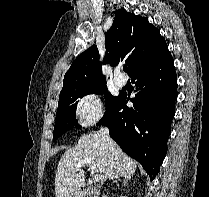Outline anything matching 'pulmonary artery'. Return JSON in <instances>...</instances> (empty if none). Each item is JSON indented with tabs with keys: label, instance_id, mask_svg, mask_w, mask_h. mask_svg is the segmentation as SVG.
I'll use <instances>...</instances> for the list:
<instances>
[{
	"label": "pulmonary artery",
	"instance_id": "1",
	"mask_svg": "<svg viewBox=\"0 0 209 197\" xmlns=\"http://www.w3.org/2000/svg\"><path fill=\"white\" fill-rule=\"evenodd\" d=\"M114 82L118 87H123L126 84V79L124 77H114Z\"/></svg>",
	"mask_w": 209,
	"mask_h": 197
}]
</instances>
